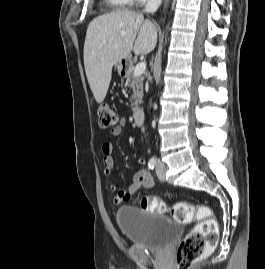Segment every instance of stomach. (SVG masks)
Wrapping results in <instances>:
<instances>
[{"mask_svg":"<svg viewBox=\"0 0 265 269\" xmlns=\"http://www.w3.org/2000/svg\"><path fill=\"white\" fill-rule=\"evenodd\" d=\"M131 65V60L129 57L116 61L114 67L119 73V75L124 76L127 73L128 68Z\"/></svg>","mask_w":265,"mask_h":269,"instance_id":"1","label":"stomach"}]
</instances>
